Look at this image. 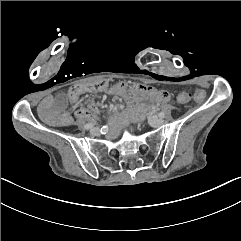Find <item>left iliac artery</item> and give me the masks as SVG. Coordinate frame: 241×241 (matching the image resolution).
Here are the masks:
<instances>
[{
    "instance_id": "obj_1",
    "label": "left iliac artery",
    "mask_w": 241,
    "mask_h": 241,
    "mask_svg": "<svg viewBox=\"0 0 241 241\" xmlns=\"http://www.w3.org/2000/svg\"><path fill=\"white\" fill-rule=\"evenodd\" d=\"M158 116H159L160 118H164L165 114H164L163 112H161V113L158 114Z\"/></svg>"
}]
</instances>
